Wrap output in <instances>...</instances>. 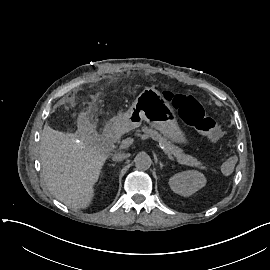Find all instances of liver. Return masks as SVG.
<instances>
[{
  "label": "liver",
  "instance_id": "1",
  "mask_svg": "<svg viewBox=\"0 0 270 270\" xmlns=\"http://www.w3.org/2000/svg\"><path fill=\"white\" fill-rule=\"evenodd\" d=\"M42 172L49 192L68 207L87 209L96 197V183L108 159L93 142L45 125L40 135Z\"/></svg>",
  "mask_w": 270,
  "mask_h": 270
}]
</instances>
